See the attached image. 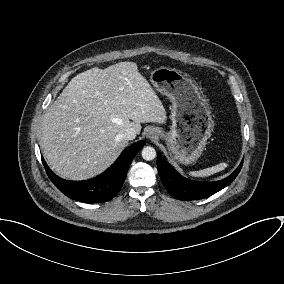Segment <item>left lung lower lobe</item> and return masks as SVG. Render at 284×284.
<instances>
[{
    "label": "left lung lower lobe",
    "instance_id": "obj_1",
    "mask_svg": "<svg viewBox=\"0 0 284 284\" xmlns=\"http://www.w3.org/2000/svg\"><path fill=\"white\" fill-rule=\"evenodd\" d=\"M238 168L227 178L215 182H197L182 177L161 155H157V167L161 181L172 197L178 200H194L209 197L228 186L239 174Z\"/></svg>",
    "mask_w": 284,
    "mask_h": 284
}]
</instances>
